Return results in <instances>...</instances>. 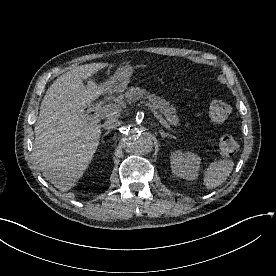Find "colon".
<instances>
[{
  "instance_id": "5ec220e1",
  "label": "colon",
  "mask_w": 276,
  "mask_h": 276,
  "mask_svg": "<svg viewBox=\"0 0 276 276\" xmlns=\"http://www.w3.org/2000/svg\"><path fill=\"white\" fill-rule=\"evenodd\" d=\"M231 108L229 104L223 100H213L209 106V117L214 123L224 122L229 114ZM237 140L229 134L221 136L218 144L219 153L224 157H230L238 150Z\"/></svg>"
}]
</instances>
